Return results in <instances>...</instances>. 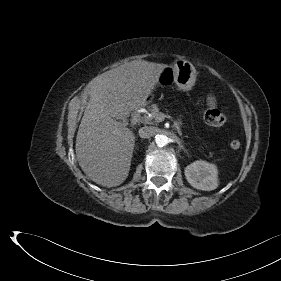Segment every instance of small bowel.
I'll return each mask as SVG.
<instances>
[{"label": "small bowel", "mask_w": 281, "mask_h": 281, "mask_svg": "<svg viewBox=\"0 0 281 281\" xmlns=\"http://www.w3.org/2000/svg\"><path fill=\"white\" fill-rule=\"evenodd\" d=\"M206 103L209 108H215L217 105V100L214 96L210 95L207 97Z\"/></svg>", "instance_id": "obj_1"}]
</instances>
